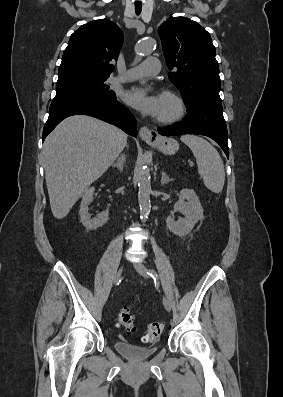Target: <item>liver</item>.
<instances>
[{
    "mask_svg": "<svg viewBox=\"0 0 283 397\" xmlns=\"http://www.w3.org/2000/svg\"><path fill=\"white\" fill-rule=\"evenodd\" d=\"M127 136L115 126L86 115L71 116L51 132L43 146L52 214L66 217L87 187L116 160Z\"/></svg>",
    "mask_w": 283,
    "mask_h": 397,
    "instance_id": "obj_1",
    "label": "liver"
}]
</instances>
